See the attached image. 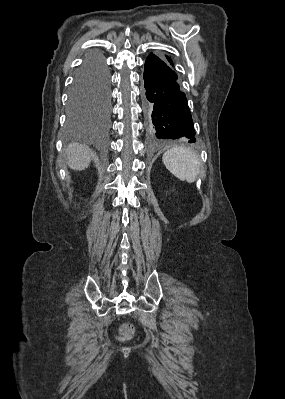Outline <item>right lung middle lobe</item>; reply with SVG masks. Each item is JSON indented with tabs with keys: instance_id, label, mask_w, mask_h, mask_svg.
Wrapping results in <instances>:
<instances>
[{
	"instance_id": "right-lung-middle-lobe-1",
	"label": "right lung middle lobe",
	"mask_w": 285,
	"mask_h": 399,
	"mask_svg": "<svg viewBox=\"0 0 285 399\" xmlns=\"http://www.w3.org/2000/svg\"><path fill=\"white\" fill-rule=\"evenodd\" d=\"M109 78L103 58L91 54L77 72L70 90L68 119L77 126L89 116L109 114Z\"/></svg>"
}]
</instances>
